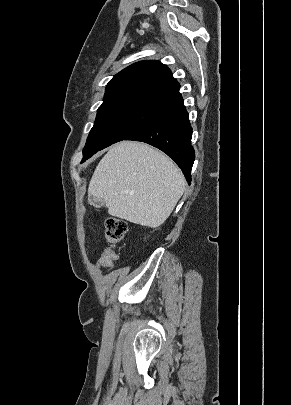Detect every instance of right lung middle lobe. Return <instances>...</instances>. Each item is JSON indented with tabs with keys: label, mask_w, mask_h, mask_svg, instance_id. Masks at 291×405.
<instances>
[{
	"label": "right lung middle lobe",
	"mask_w": 291,
	"mask_h": 405,
	"mask_svg": "<svg viewBox=\"0 0 291 405\" xmlns=\"http://www.w3.org/2000/svg\"><path fill=\"white\" fill-rule=\"evenodd\" d=\"M170 106L143 99L101 105L87 138L82 161L113 143L125 140L165 113Z\"/></svg>",
	"instance_id": "1"
}]
</instances>
